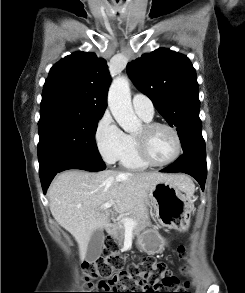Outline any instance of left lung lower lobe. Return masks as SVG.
I'll return each instance as SVG.
<instances>
[{
	"label": "left lung lower lobe",
	"instance_id": "0a47b994",
	"mask_svg": "<svg viewBox=\"0 0 245 293\" xmlns=\"http://www.w3.org/2000/svg\"><path fill=\"white\" fill-rule=\"evenodd\" d=\"M160 172H183L194 177L204 191L207 164L206 156L197 153H184L173 164Z\"/></svg>",
	"mask_w": 245,
	"mask_h": 293
}]
</instances>
